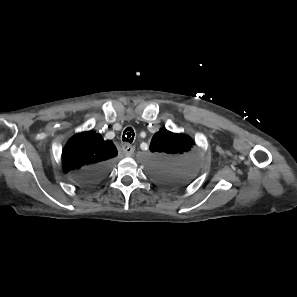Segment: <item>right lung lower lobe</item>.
Segmentation results:
<instances>
[{"instance_id":"obj_1","label":"right lung lower lobe","mask_w":297,"mask_h":297,"mask_svg":"<svg viewBox=\"0 0 297 297\" xmlns=\"http://www.w3.org/2000/svg\"><path fill=\"white\" fill-rule=\"evenodd\" d=\"M109 169L110 163H99L72 174V180L80 186L93 185L99 182L108 173Z\"/></svg>"}]
</instances>
